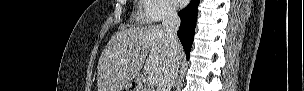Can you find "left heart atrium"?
<instances>
[{"label": "left heart atrium", "mask_w": 304, "mask_h": 91, "mask_svg": "<svg viewBox=\"0 0 304 91\" xmlns=\"http://www.w3.org/2000/svg\"><path fill=\"white\" fill-rule=\"evenodd\" d=\"M175 2V4L178 6V7H183L184 6V1H182V0H176V1H174Z\"/></svg>", "instance_id": "1"}]
</instances>
